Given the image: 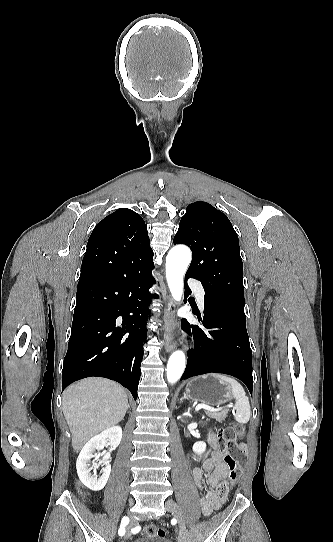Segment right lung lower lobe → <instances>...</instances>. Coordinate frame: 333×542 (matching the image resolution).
<instances>
[{"mask_svg": "<svg viewBox=\"0 0 333 542\" xmlns=\"http://www.w3.org/2000/svg\"><path fill=\"white\" fill-rule=\"evenodd\" d=\"M153 268L152 249L86 250L81 270L115 277L78 282L62 391L74 381L99 376L119 382L137 399Z\"/></svg>", "mask_w": 333, "mask_h": 542, "instance_id": "98d812e1", "label": "right lung lower lobe"}]
</instances>
